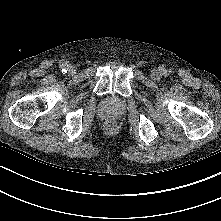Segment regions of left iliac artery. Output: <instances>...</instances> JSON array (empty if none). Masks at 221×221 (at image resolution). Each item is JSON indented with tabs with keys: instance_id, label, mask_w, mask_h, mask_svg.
Segmentation results:
<instances>
[{
	"instance_id": "left-iliac-artery-1",
	"label": "left iliac artery",
	"mask_w": 221,
	"mask_h": 221,
	"mask_svg": "<svg viewBox=\"0 0 221 221\" xmlns=\"http://www.w3.org/2000/svg\"><path fill=\"white\" fill-rule=\"evenodd\" d=\"M164 75L167 76L168 75V71L165 70Z\"/></svg>"
}]
</instances>
